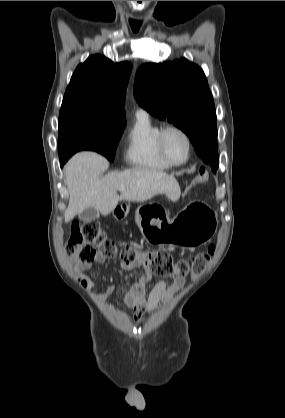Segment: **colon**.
<instances>
[{"label":"colon","mask_w":285,"mask_h":418,"mask_svg":"<svg viewBox=\"0 0 285 418\" xmlns=\"http://www.w3.org/2000/svg\"><path fill=\"white\" fill-rule=\"evenodd\" d=\"M200 179L208 181L212 176V171L202 168ZM119 253L125 262H134L141 258L148 259L151 263L152 271L163 277H183L188 273L192 275L200 274L210 261L214 248L198 253L192 259L191 264L176 262L171 255L165 251L137 250L134 247L118 249L115 243L109 238L100 224L90 222L80 224L73 222L72 232L67 238V253L70 257L78 260L80 264L91 265L95 262L98 253L112 255ZM79 282L87 286L89 279L82 276Z\"/></svg>","instance_id":"5ec220e1"}]
</instances>
